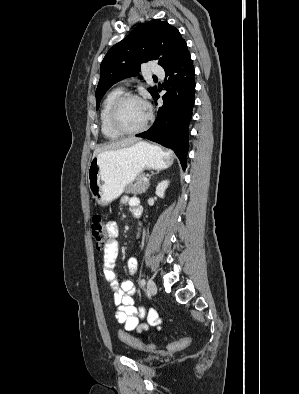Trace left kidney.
I'll return each instance as SVG.
<instances>
[{"mask_svg": "<svg viewBox=\"0 0 299 394\" xmlns=\"http://www.w3.org/2000/svg\"><path fill=\"white\" fill-rule=\"evenodd\" d=\"M169 185L168 180L161 181L156 187V195L160 198H163L165 195V191Z\"/></svg>", "mask_w": 299, "mask_h": 394, "instance_id": "left-kidney-1", "label": "left kidney"}]
</instances>
